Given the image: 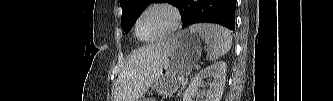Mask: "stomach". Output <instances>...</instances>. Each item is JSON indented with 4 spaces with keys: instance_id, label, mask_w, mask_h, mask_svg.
I'll return each mask as SVG.
<instances>
[{
    "instance_id": "obj_1",
    "label": "stomach",
    "mask_w": 333,
    "mask_h": 101,
    "mask_svg": "<svg viewBox=\"0 0 333 101\" xmlns=\"http://www.w3.org/2000/svg\"><path fill=\"white\" fill-rule=\"evenodd\" d=\"M168 54L166 62L155 80L153 88L162 96L173 95L186 80L193 66L201 57L200 36L191 30H184L166 40ZM138 101H155L140 98Z\"/></svg>"
}]
</instances>
